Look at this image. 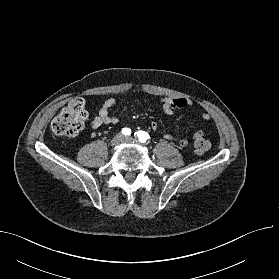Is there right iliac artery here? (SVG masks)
I'll list each match as a JSON object with an SVG mask.
<instances>
[{
	"label": "right iliac artery",
	"mask_w": 279,
	"mask_h": 279,
	"mask_svg": "<svg viewBox=\"0 0 279 279\" xmlns=\"http://www.w3.org/2000/svg\"><path fill=\"white\" fill-rule=\"evenodd\" d=\"M122 134H124L125 136L130 135L131 134V130L129 128H123L122 129Z\"/></svg>",
	"instance_id": "right-iliac-artery-1"
}]
</instances>
